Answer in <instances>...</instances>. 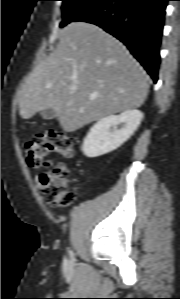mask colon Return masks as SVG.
I'll list each match as a JSON object with an SVG mask.
<instances>
[{"mask_svg": "<svg viewBox=\"0 0 180 299\" xmlns=\"http://www.w3.org/2000/svg\"><path fill=\"white\" fill-rule=\"evenodd\" d=\"M49 153H58L63 157H71L74 153L72 138L65 132L47 129L34 141L25 145V161L29 167L43 165ZM41 196L52 207H64L74 199L73 180L64 164H58L40 175Z\"/></svg>", "mask_w": 180, "mask_h": 299, "instance_id": "colon-1", "label": "colon"}]
</instances>
